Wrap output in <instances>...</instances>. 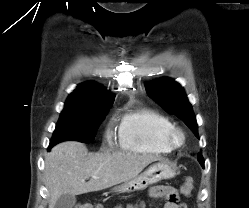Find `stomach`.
I'll use <instances>...</instances> for the list:
<instances>
[{"label":"stomach","mask_w":249,"mask_h":208,"mask_svg":"<svg viewBox=\"0 0 249 208\" xmlns=\"http://www.w3.org/2000/svg\"><path fill=\"white\" fill-rule=\"evenodd\" d=\"M175 175L176 171L169 164L160 161L149 166L148 169L137 177L114 188L113 191L115 193H131L141 191L161 180L173 178Z\"/></svg>","instance_id":"0dacf381"}]
</instances>
